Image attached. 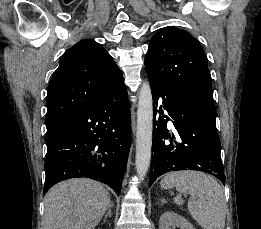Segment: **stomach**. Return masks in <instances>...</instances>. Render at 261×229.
Instances as JSON below:
<instances>
[{
	"mask_svg": "<svg viewBox=\"0 0 261 229\" xmlns=\"http://www.w3.org/2000/svg\"><path fill=\"white\" fill-rule=\"evenodd\" d=\"M162 189H168V187H162Z\"/></svg>",
	"mask_w": 261,
	"mask_h": 229,
	"instance_id": "stomach-1",
	"label": "stomach"
}]
</instances>
